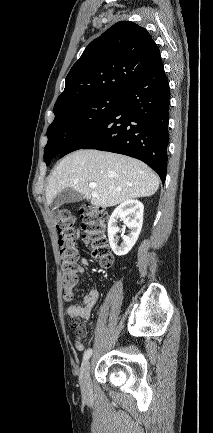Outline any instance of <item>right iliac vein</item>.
<instances>
[{"label":"right iliac vein","instance_id":"1","mask_svg":"<svg viewBox=\"0 0 213 433\" xmlns=\"http://www.w3.org/2000/svg\"><path fill=\"white\" fill-rule=\"evenodd\" d=\"M90 368L91 364L89 361H86L83 364L81 373H80V388L84 397L89 398L92 394V388L90 383Z\"/></svg>","mask_w":213,"mask_h":433}]
</instances>
